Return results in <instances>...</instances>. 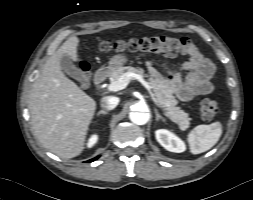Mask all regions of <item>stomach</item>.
I'll use <instances>...</instances> for the list:
<instances>
[{
	"label": "stomach",
	"instance_id": "0dacf381",
	"mask_svg": "<svg viewBox=\"0 0 253 200\" xmlns=\"http://www.w3.org/2000/svg\"><path fill=\"white\" fill-rule=\"evenodd\" d=\"M128 61L127 57L123 54L114 55L110 58L108 64V68L110 71H113L122 65H124Z\"/></svg>",
	"mask_w": 253,
	"mask_h": 200
}]
</instances>
